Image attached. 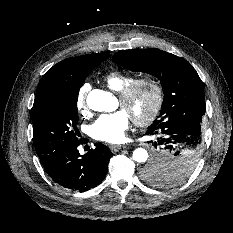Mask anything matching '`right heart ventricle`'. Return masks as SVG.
<instances>
[{
  "instance_id": "e07e8e85",
  "label": "right heart ventricle",
  "mask_w": 233,
  "mask_h": 233,
  "mask_svg": "<svg viewBox=\"0 0 233 233\" xmlns=\"http://www.w3.org/2000/svg\"><path fill=\"white\" fill-rule=\"evenodd\" d=\"M132 80H134L133 75L120 70L110 71L103 76V82L107 87L118 93Z\"/></svg>"
}]
</instances>
